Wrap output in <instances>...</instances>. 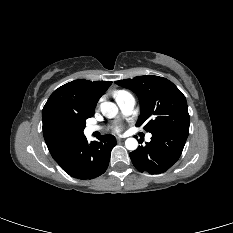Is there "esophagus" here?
Instances as JSON below:
<instances>
[{
	"mask_svg": "<svg viewBox=\"0 0 233 233\" xmlns=\"http://www.w3.org/2000/svg\"><path fill=\"white\" fill-rule=\"evenodd\" d=\"M124 139L123 138H117V141L118 142H121V141H123Z\"/></svg>",
	"mask_w": 233,
	"mask_h": 233,
	"instance_id": "obj_1",
	"label": "esophagus"
}]
</instances>
